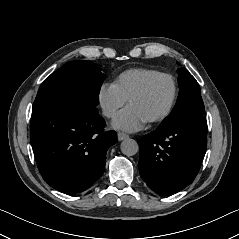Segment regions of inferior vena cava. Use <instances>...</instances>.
<instances>
[{
	"label": "inferior vena cava",
	"mask_w": 239,
	"mask_h": 239,
	"mask_svg": "<svg viewBox=\"0 0 239 239\" xmlns=\"http://www.w3.org/2000/svg\"><path fill=\"white\" fill-rule=\"evenodd\" d=\"M114 114V111L110 108H104L103 109V115L106 117H112Z\"/></svg>",
	"instance_id": "602c4592"
}]
</instances>
